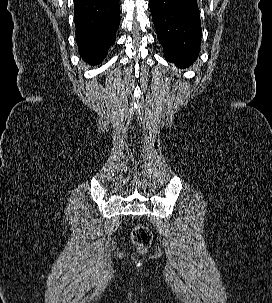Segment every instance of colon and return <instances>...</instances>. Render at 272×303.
I'll return each mask as SVG.
<instances>
[{"mask_svg": "<svg viewBox=\"0 0 272 303\" xmlns=\"http://www.w3.org/2000/svg\"><path fill=\"white\" fill-rule=\"evenodd\" d=\"M134 244L140 251H146L152 241L151 231L144 226H136L131 234Z\"/></svg>", "mask_w": 272, "mask_h": 303, "instance_id": "colon-1", "label": "colon"}]
</instances>
